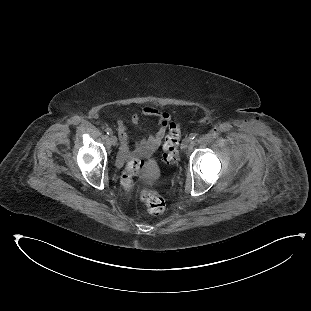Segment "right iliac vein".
I'll list each match as a JSON object with an SVG mask.
<instances>
[{
  "mask_svg": "<svg viewBox=\"0 0 311 311\" xmlns=\"http://www.w3.org/2000/svg\"><path fill=\"white\" fill-rule=\"evenodd\" d=\"M110 142L115 146L117 144V137L115 135H110Z\"/></svg>",
  "mask_w": 311,
  "mask_h": 311,
  "instance_id": "63e3f726",
  "label": "right iliac vein"
}]
</instances>
